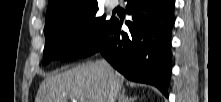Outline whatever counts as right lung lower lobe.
Listing matches in <instances>:
<instances>
[{"label": "right lung lower lobe", "instance_id": "1", "mask_svg": "<svg viewBox=\"0 0 221 102\" xmlns=\"http://www.w3.org/2000/svg\"><path fill=\"white\" fill-rule=\"evenodd\" d=\"M132 19L121 31V22L112 18L95 44L80 58L100 52L126 78L156 86L168 97L171 74V32L174 27V0H127Z\"/></svg>", "mask_w": 221, "mask_h": 102}]
</instances>
